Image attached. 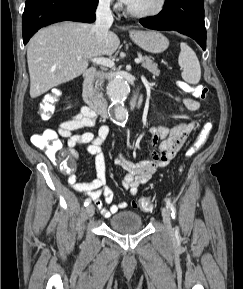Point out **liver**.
<instances>
[{
  "mask_svg": "<svg viewBox=\"0 0 243 289\" xmlns=\"http://www.w3.org/2000/svg\"><path fill=\"white\" fill-rule=\"evenodd\" d=\"M119 44L112 31L99 43L94 25L88 23L67 21L39 30L27 47L31 98L80 76L86 71L89 59L111 56Z\"/></svg>",
  "mask_w": 243,
  "mask_h": 289,
  "instance_id": "1",
  "label": "liver"
}]
</instances>
